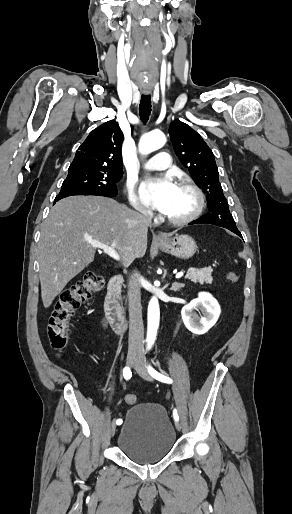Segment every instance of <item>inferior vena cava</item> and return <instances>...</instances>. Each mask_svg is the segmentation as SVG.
Instances as JSON below:
<instances>
[{"label":"inferior vena cava","mask_w":292,"mask_h":514,"mask_svg":"<svg viewBox=\"0 0 292 514\" xmlns=\"http://www.w3.org/2000/svg\"><path fill=\"white\" fill-rule=\"evenodd\" d=\"M145 224L150 226L151 216L148 210L142 212ZM128 302H129V338L128 350L134 354H144V326L141 312L140 284L137 274H132L128 282Z\"/></svg>","instance_id":"602c4592"}]
</instances>
